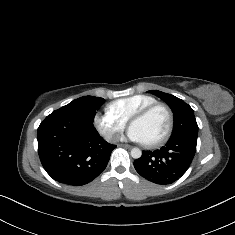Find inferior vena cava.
I'll list each match as a JSON object with an SVG mask.
<instances>
[{"label": "inferior vena cava", "instance_id": "1", "mask_svg": "<svg viewBox=\"0 0 235 235\" xmlns=\"http://www.w3.org/2000/svg\"><path fill=\"white\" fill-rule=\"evenodd\" d=\"M117 136H112V138H111V142H117Z\"/></svg>", "mask_w": 235, "mask_h": 235}]
</instances>
